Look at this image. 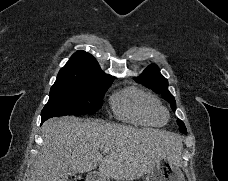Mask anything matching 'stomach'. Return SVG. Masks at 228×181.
Instances as JSON below:
<instances>
[{
	"mask_svg": "<svg viewBox=\"0 0 228 181\" xmlns=\"http://www.w3.org/2000/svg\"><path fill=\"white\" fill-rule=\"evenodd\" d=\"M144 181H185V177L175 163H170L165 157H160L153 171L147 173Z\"/></svg>",
	"mask_w": 228,
	"mask_h": 181,
	"instance_id": "1",
	"label": "stomach"
}]
</instances>
